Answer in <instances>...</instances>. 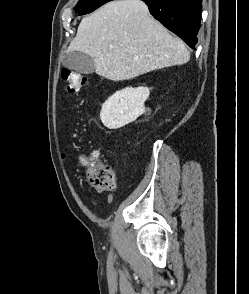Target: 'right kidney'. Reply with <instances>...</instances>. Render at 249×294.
<instances>
[{"mask_svg": "<svg viewBox=\"0 0 249 294\" xmlns=\"http://www.w3.org/2000/svg\"><path fill=\"white\" fill-rule=\"evenodd\" d=\"M148 87H127L114 93L102 105L100 119L108 129H118L136 120L145 110Z\"/></svg>", "mask_w": 249, "mask_h": 294, "instance_id": "right-kidney-1", "label": "right kidney"}]
</instances>
